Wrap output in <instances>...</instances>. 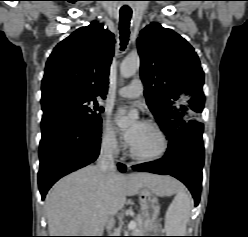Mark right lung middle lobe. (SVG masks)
<instances>
[{
	"label": "right lung middle lobe",
	"instance_id": "right-lung-middle-lobe-1",
	"mask_svg": "<svg viewBox=\"0 0 248 237\" xmlns=\"http://www.w3.org/2000/svg\"><path fill=\"white\" fill-rule=\"evenodd\" d=\"M42 119H63L82 124L101 123L98 102L94 98L61 96L42 102Z\"/></svg>",
	"mask_w": 248,
	"mask_h": 237
}]
</instances>
